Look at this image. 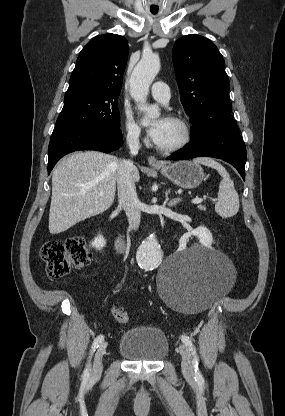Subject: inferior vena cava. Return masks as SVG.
Listing matches in <instances>:
<instances>
[{
	"label": "inferior vena cava",
	"instance_id": "602c4592",
	"mask_svg": "<svg viewBox=\"0 0 285 416\" xmlns=\"http://www.w3.org/2000/svg\"><path fill=\"white\" fill-rule=\"evenodd\" d=\"M126 140L130 154L136 156L140 150L138 132L129 130ZM133 168H135V166H133L131 160H121V162H119L117 168V190L119 204L126 212L130 224L129 228H131V230H137L140 224L141 202H139L137 198L136 188L132 178Z\"/></svg>",
	"mask_w": 285,
	"mask_h": 416
}]
</instances>
